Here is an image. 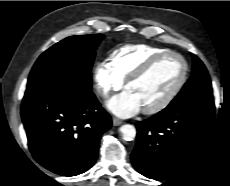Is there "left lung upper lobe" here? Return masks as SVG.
Instances as JSON below:
<instances>
[{"label": "left lung upper lobe", "instance_id": "1", "mask_svg": "<svg viewBox=\"0 0 230 186\" xmlns=\"http://www.w3.org/2000/svg\"><path fill=\"white\" fill-rule=\"evenodd\" d=\"M213 96L209 74L201 60L193 55V70L188 82L168 106Z\"/></svg>", "mask_w": 230, "mask_h": 186}]
</instances>
